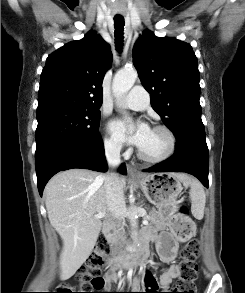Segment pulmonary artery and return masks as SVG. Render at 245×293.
<instances>
[{"instance_id":"1","label":"pulmonary artery","mask_w":245,"mask_h":293,"mask_svg":"<svg viewBox=\"0 0 245 293\" xmlns=\"http://www.w3.org/2000/svg\"><path fill=\"white\" fill-rule=\"evenodd\" d=\"M150 104V96L142 86H135L120 102V105L133 110H143Z\"/></svg>"}]
</instances>
